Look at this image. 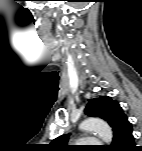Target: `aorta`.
Instances as JSON below:
<instances>
[{"mask_svg": "<svg viewBox=\"0 0 142 151\" xmlns=\"http://www.w3.org/2000/svg\"><path fill=\"white\" fill-rule=\"evenodd\" d=\"M79 129L85 132H96L98 136L107 144H111L112 142V129L101 119L88 118L81 122Z\"/></svg>", "mask_w": 142, "mask_h": 151, "instance_id": "1", "label": "aorta"}]
</instances>
